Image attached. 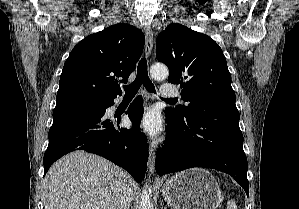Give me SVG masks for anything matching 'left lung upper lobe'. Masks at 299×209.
I'll return each instance as SVG.
<instances>
[{
	"label": "left lung upper lobe",
	"instance_id": "left-lung-upper-lobe-1",
	"mask_svg": "<svg viewBox=\"0 0 299 209\" xmlns=\"http://www.w3.org/2000/svg\"><path fill=\"white\" fill-rule=\"evenodd\" d=\"M156 41V57L169 68L168 82L180 84L181 98L189 102L166 108L165 114L186 118L205 102L235 103L225 56L209 36L172 23Z\"/></svg>",
	"mask_w": 299,
	"mask_h": 209
}]
</instances>
